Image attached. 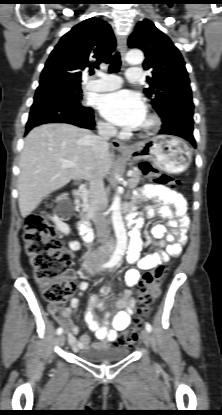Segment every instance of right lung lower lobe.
<instances>
[{
  "mask_svg": "<svg viewBox=\"0 0 222 415\" xmlns=\"http://www.w3.org/2000/svg\"><path fill=\"white\" fill-rule=\"evenodd\" d=\"M63 122L91 129L95 126L93 110L81 105L64 84V80L47 76L40 79L34 103L26 125V133L33 127Z\"/></svg>",
  "mask_w": 222,
  "mask_h": 415,
  "instance_id": "1",
  "label": "right lung lower lobe"
}]
</instances>
